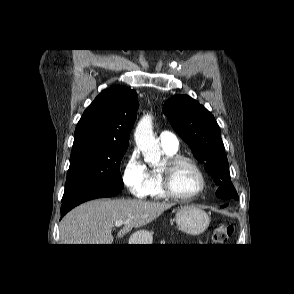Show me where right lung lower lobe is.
I'll use <instances>...</instances> for the list:
<instances>
[{
    "instance_id": "right-lung-lower-lobe-1",
    "label": "right lung lower lobe",
    "mask_w": 294,
    "mask_h": 294,
    "mask_svg": "<svg viewBox=\"0 0 294 294\" xmlns=\"http://www.w3.org/2000/svg\"><path fill=\"white\" fill-rule=\"evenodd\" d=\"M122 189H95L79 192L67 199H62L61 216L63 217L68 211L77 205L96 198L112 197L119 194Z\"/></svg>"
}]
</instances>
